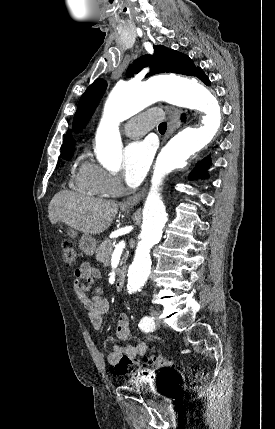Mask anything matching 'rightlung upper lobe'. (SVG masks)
Segmentation results:
<instances>
[{"label":"right lung upper lobe","mask_w":275,"mask_h":429,"mask_svg":"<svg viewBox=\"0 0 275 429\" xmlns=\"http://www.w3.org/2000/svg\"><path fill=\"white\" fill-rule=\"evenodd\" d=\"M73 147H74V142L72 141L70 132H68L63 142V146L61 149V156L73 155V151H74Z\"/></svg>","instance_id":"cb5924a9"}]
</instances>
